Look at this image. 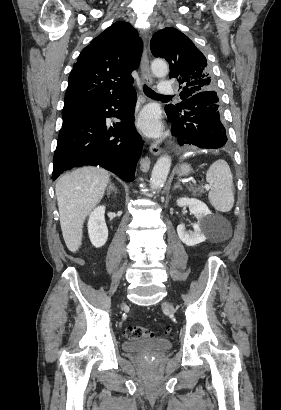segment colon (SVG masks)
Here are the masks:
<instances>
[{"label":"colon","mask_w":281,"mask_h":410,"mask_svg":"<svg viewBox=\"0 0 281 410\" xmlns=\"http://www.w3.org/2000/svg\"><path fill=\"white\" fill-rule=\"evenodd\" d=\"M171 332V327L166 328V333ZM125 336L128 340L144 339V338H153L155 334L153 331L144 328L142 326H129L125 329Z\"/></svg>","instance_id":"colon-1"}]
</instances>
